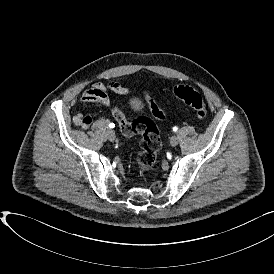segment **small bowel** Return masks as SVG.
Listing matches in <instances>:
<instances>
[{"instance_id": "1", "label": "small bowel", "mask_w": 274, "mask_h": 274, "mask_svg": "<svg viewBox=\"0 0 274 274\" xmlns=\"http://www.w3.org/2000/svg\"><path fill=\"white\" fill-rule=\"evenodd\" d=\"M109 92L125 95L130 92V89L115 80L108 82L97 81L92 83L90 88L83 91L79 102L80 104L95 103L102 106H108L110 104ZM92 121V117L84 114L82 111L78 112L73 117L74 124L84 130H87L91 126Z\"/></svg>"}]
</instances>
